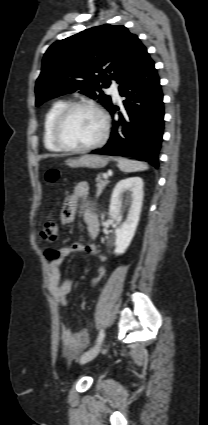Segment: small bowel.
<instances>
[{"label": "small bowel", "instance_id": "c3829d8e", "mask_svg": "<svg viewBox=\"0 0 208 425\" xmlns=\"http://www.w3.org/2000/svg\"><path fill=\"white\" fill-rule=\"evenodd\" d=\"M79 201H82L80 207L81 219L89 236L94 240L99 233V219L94 211L93 204L89 201V186L86 182L76 184L72 194L66 198L61 213V221L64 224L74 221ZM58 252L59 257L51 259L48 265V287L52 297L59 308L62 309L67 305L66 296L71 290V281L62 280L61 278L60 268L63 260L73 253L83 252L90 255H97V247L93 242L88 244L74 242L70 246L59 249ZM100 258L102 261L105 260L103 256H100ZM88 341L89 334L86 330L73 333L68 324L62 323L61 342L63 353L66 357H74L79 350L88 344Z\"/></svg>", "mask_w": 208, "mask_h": 425}]
</instances>
